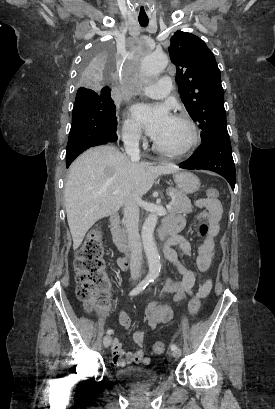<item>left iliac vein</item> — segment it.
<instances>
[{
    "mask_svg": "<svg viewBox=\"0 0 275 409\" xmlns=\"http://www.w3.org/2000/svg\"><path fill=\"white\" fill-rule=\"evenodd\" d=\"M172 356L175 357V358H179L180 357V351L178 349L172 350Z\"/></svg>",
    "mask_w": 275,
    "mask_h": 409,
    "instance_id": "obj_1",
    "label": "left iliac vein"
}]
</instances>
